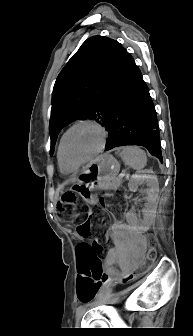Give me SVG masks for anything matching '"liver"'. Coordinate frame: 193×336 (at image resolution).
Returning a JSON list of instances; mask_svg holds the SVG:
<instances>
[{
	"mask_svg": "<svg viewBox=\"0 0 193 336\" xmlns=\"http://www.w3.org/2000/svg\"><path fill=\"white\" fill-rule=\"evenodd\" d=\"M84 169H85V168H84ZM75 180H76V178H75V177H73V178L71 179V181H72V182H74Z\"/></svg>",
	"mask_w": 193,
	"mask_h": 336,
	"instance_id": "1",
	"label": "liver"
}]
</instances>
